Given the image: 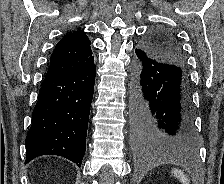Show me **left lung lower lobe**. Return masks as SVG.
Masks as SVG:
<instances>
[{"label":"left lung lower lobe","instance_id":"left-lung-lower-lobe-1","mask_svg":"<svg viewBox=\"0 0 224 184\" xmlns=\"http://www.w3.org/2000/svg\"><path fill=\"white\" fill-rule=\"evenodd\" d=\"M132 75L133 142L139 152L194 153L191 96L185 69L135 49Z\"/></svg>","mask_w":224,"mask_h":184}]
</instances>
